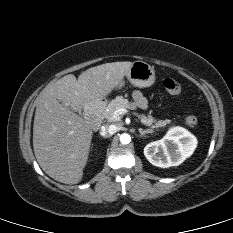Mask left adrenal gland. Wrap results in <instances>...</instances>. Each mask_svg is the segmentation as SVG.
Segmentation results:
<instances>
[{"instance_id": "1", "label": "left adrenal gland", "mask_w": 233, "mask_h": 233, "mask_svg": "<svg viewBox=\"0 0 233 233\" xmlns=\"http://www.w3.org/2000/svg\"><path fill=\"white\" fill-rule=\"evenodd\" d=\"M139 133L141 136L147 134V133H151L149 130H143V129H139Z\"/></svg>"}]
</instances>
